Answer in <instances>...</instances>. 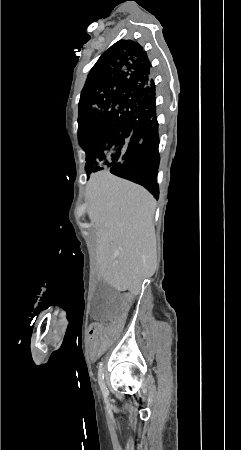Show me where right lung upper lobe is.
<instances>
[{
	"instance_id": "obj_1",
	"label": "right lung upper lobe",
	"mask_w": 241,
	"mask_h": 450,
	"mask_svg": "<svg viewBox=\"0 0 241 450\" xmlns=\"http://www.w3.org/2000/svg\"><path fill=\"white\" fill-rule=\"evenodd\" d=\"M150 75L151 65L143 48L134 41L120 40L100 56L86 83L113 85L123 97L145 100Z\"/></svg>"
}]
</instances>
